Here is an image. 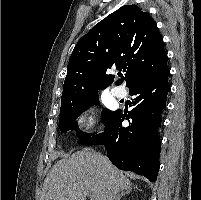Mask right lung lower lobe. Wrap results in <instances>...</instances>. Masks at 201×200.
<instances>
[{"label": "right lung lower lobe", "mask_w": 201, "mask_h": 200, "mask_svg": "<svg viewBox=\"0 0 201 200\" xmlns=\"http://www.w3.org/2000/svg\"><path fill=\"white\" fill-rule=\"evenodd\" d=\"M168 67L151 78L139 81L130 88L133 108L126 115L131 125L124 128L125 115L115 111L106 121L105 131L89 134L80 140L83 145L104 144L110 161L121 170L133 171L155 182L159 170L160 138L157 129L166 106Z\"/></svg>", "instance_id": "right-lung-lower-lobe-1"}]
</instances>
